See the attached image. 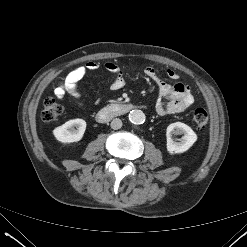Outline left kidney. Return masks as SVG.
<instances>
[{
  "label": "left kidney",
  "instance_id": "1",
  "mask_svg": "<svg viewBox=\"0 0 247 247\" xmlns=\"http://www.w3.org/2000/svg\"><path fill=\"white\" fill-rule=\"evenodd\" d=\"M171 134H184L180 142H174ZM167 151L170 154L186 152L197 140L196 133L188 125L175 122L167 127Z\"/></svg>",
  "mask_w": 247,
  "mask_h": 247
}]
</instances>
